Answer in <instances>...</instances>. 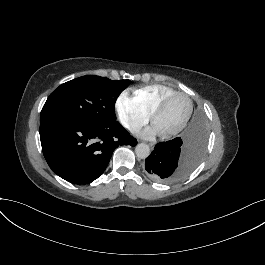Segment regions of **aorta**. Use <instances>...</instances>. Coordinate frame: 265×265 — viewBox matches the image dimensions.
Wrapping results in <instances>:
<instances>
[{
  "mask_svg": "<svg viewBox=\"0 0 265 265\" xmlns=\"http://www.w3.org/2000/svg\"><path fill=\"white\" fill-rule=\"evenodd\" d=\"M136 156L140 159H145L150 155V148L147 144L140 143L135 148Z\"/></svg>",
  "mask_w": 265,
  "mask_h": 265,
  "instance_id": "1",
  "label": "aorta"
}]
</instances>
